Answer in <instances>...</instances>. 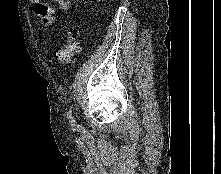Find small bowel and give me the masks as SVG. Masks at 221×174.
<instances>
[{
    "mask_svg": "<svg viewBox=\"0 0 221 174\" xmlns=\"http://www.w3.org/2000/svg\"><path fill=\"white\" fill-rule=\"evenodd\" d=\"M34 4L33 11L39 18L42 26H50L54 22V9L47 3L41 0H31ZM53 2L62 11H67L70 8L69 0H53Z\"/></svg>",
    "mask_w": 221,
    "mask_h": 174,
    "instance_id": "1",
    "label": "small bowel"
}]
</instances>
